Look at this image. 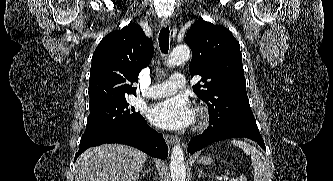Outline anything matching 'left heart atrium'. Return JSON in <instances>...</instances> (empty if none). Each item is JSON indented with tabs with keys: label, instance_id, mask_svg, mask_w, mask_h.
<instances>
[{
	"label": "left heart atrium",
	"instance_id": "1",
	"mask_svg": "<svg viewBox=\"0 0 333 181\" xmlns=\"http://www.w3.org/2000/svg\"><path fill=\"white\" fill-rule=\"evenodd\" d=\"M149 121L165 129H182L194 121V110L184 96H174L159 101L148 111Z\"/></svg>",
	"mask_w": 333,
	"mask_h": 181
}]
</instances>
